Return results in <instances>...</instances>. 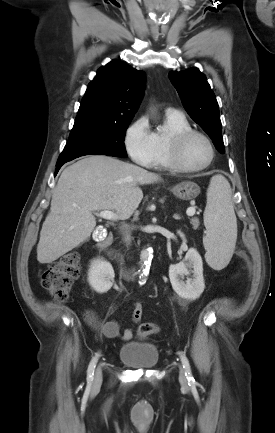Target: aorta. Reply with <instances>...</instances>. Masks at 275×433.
I'll return each mask as SVG.
<instances>
[{
    "mask_svg": "<svg viewBox=\"0 0 275 433\" xmlns=\"http://www.w3.org/2000/svg\"><path fill=\"white\" fill-rule=\"evenodd\" d=\"M150 256H151V252H150V250H148V249H146V250H143L142 252H141V261L144 263V265H146V268L144 269L143 268V266H142V268H143V270H142V278H144L145 277V275H147V273H148V268H147V266H148V264L150 263Z\"/></svg>",
    "mask_w": 275,
    "mask_h": 433,
    "instance_id": "762f6f07",
    "label": "aorta"
}]
</instances>
